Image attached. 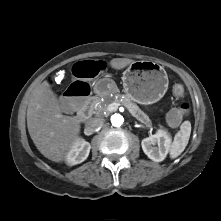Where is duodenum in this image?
Returning <instances> with one entry per match:
<instances>
[{
	"instance_id": "duodenum-1",
	"label": "duodenum",
	"mask_w": 221,
	"mask_h": 221,
	"mask_svg": "<svg viewBox=\"0 0 221 221\" xmlns=\"http://www.w3.org/2000/svg\"><path fill=\"white\" fill-rule=\"evenodd\" d=\"M77 114H78V118L83 121L88 117L89 110L86 107L85 109L79 110Z\"/></svg>"
}]
</instances>
